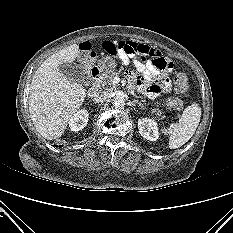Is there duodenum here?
<instances>
[{
	"mask_svg": "<svg viewBox=\"0 0 233 233\" xmlns=\"http://www.w3.org/2000/svg\"><path fill=\"white\" fill-rule=\"evenodd\" d=\"M91 76H92L93 83L88 91V94H89V96H94L97 94V92L99 90V85H100V82L103 78V72L99 68L93 67L91 69Z\"/></svg>",
	"mask_w": 233,
	"mask_h": 233,
	"instance_id": "obj_1",
	"label": "duodenum"
}]
</instances>
